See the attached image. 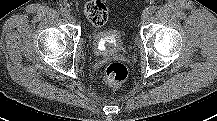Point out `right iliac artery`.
I'll return each mask as SVG.
<instances>
[{
	"instance_id": "82829eb1",
	"label": "right iliac artery",
	"mask_w": 217,
	"mask_h": 121,
	"mask_svg": "<svg viewBox=\"0 0 217 121\" xmlns=\"http://www.w3.org/2000/svg\"><path fill=\"white\" fill-rule=\"evenodd\" d=\"M60 13L64 16H68L70 14V11L66 8H61Z\"/></svg>"
}]
</instances>
